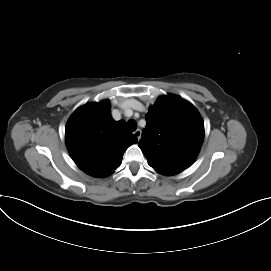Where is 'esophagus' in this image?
Listing matches in <instances>:
<instances>
[{"instance_id":"esophagus-1","label":"esophagus","mask_w":271,"mask_h":271,"mask_svg":"<svg viewBox=\"0 0 271 271\" xmlns=\"http://www.w3.org/2000/svg\"><path fill=\"white\" fill-rule=\"evenodd\" d=\"M134 135H135V136L137 137V139L139 140V139L141 138V130H140V129L135 130Z\"/></svg>"}]
</instances>
